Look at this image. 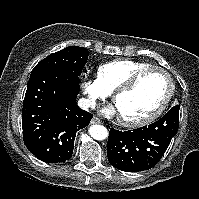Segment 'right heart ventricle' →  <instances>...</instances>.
Listing matches in <instances>:
<instances>
[{
  "instance_id": "obj_1",
  "label": "right heart ventricle",
  "mask_w": 199,
  "mask_h": 199,
  "mask_svg": "<svg viewBox=\"0 0 199 199\" xmlns=\"http://www.w3.org/2000/svg\"><path fill=\"white\" fill-rule=\"evenodd\" d=\"M150 66V64L142 61L131 59H117L98 67L97 78L105 89L111 93L135 71Z\"/></svg>"
}]
</instances>
